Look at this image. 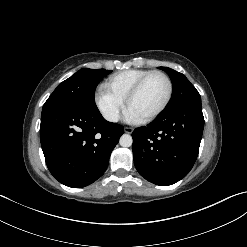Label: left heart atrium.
<instances>
[{
    "mask_svg": "<svg viewBox=\"0 0 247 247\" xmlns=\"http://www.w3.org/2000/svg\"><path fill=\"white\" fill-rule=\"evenodd\" d=\"M127 118H128V120H130L132 122H137V121H140V119H141L136 114H134L131 110H128Z\"/></svg>",
    "mask_w": 247,
    "mask_h": 247,
    "instance_id": "39dd6f15",
    "label": "left heart atrium"
}]
</instances>
